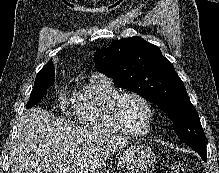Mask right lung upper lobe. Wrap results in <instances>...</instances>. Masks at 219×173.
Instances as JSON below:
<instances>
[{
	"label": "right lung upper lobe",
	"instance_id": "cb5924a9",
	"mask_svg": "<svg viewBox=\"0 0 219 173\" xmlns=\"http://www.w3.org/2000/svg\"><path fill=\"white\" fill-rule=\"evenodd\" d=\"M42 72H44V73H53V72H55L54 71V65H53V63L51 62V61H49L43 68H42V70L39 72V73H42Z\"/></svg>",
	"mask_w": 219,
	"mask_h": 173
}]
</instances>
